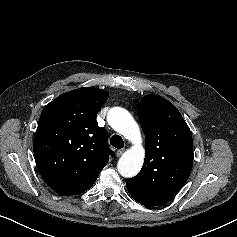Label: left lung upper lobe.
<instances>
[{"instance_id": "left-lung-upper-lobe-1", "label": "left lung upper lobe", "mask_w": 237, "mask_h": 237, "mask_svg": "<svg viewBox=\"0 0 237 237\" xmlns=\"http://www.w3.org/2000/svg\"><path fill=\"white\" fill-rule=\"evenodd\" d=\"M137 112L145 134V160L139 174L126 179V187L135 201L153 207L176 195L189 178L192 135L177 108L159 95H146Z\"/></svg>"}]
</instances>
